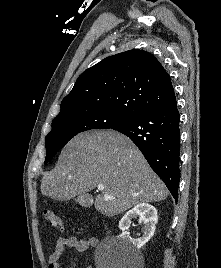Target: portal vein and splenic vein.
I'll use <instances>...</instances> for the list:
<instances>
[{
    "mask_svg": "<svg viewBox=\"0 0 221 268\" xmlns=\"http://www.w3.org/2000/svg\"><path fill=\"white\" fill-rule=\"evenodd\" d=\"M103 189H104V187H103L102 185H99V186H98V190H99V191H103ZM104 197H105V199H107V200H108V199H113V197H111V196H109V195H105Z\"/></svg>",
    "mask_w": 221,
    "mask_h": 268,
    "instance_id": "1",
    "label": "portal vein and splenic vein"
}]
</instances>
